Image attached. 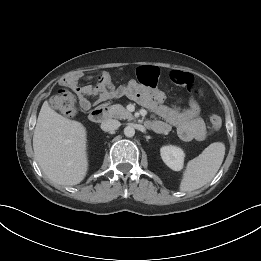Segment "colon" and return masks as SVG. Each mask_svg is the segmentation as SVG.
I'll use <instances>...</instances> for the list:
<instances>
[{
	"label": "colon",
	"instance_id": "obj_1",
	"mask_svg": "<svg viewBox=\"0 0 261 261\" xmlns=\"http://www.w3.org/2000/svg\"><path fill=\"white\" fill-rule=\"evenodd\" d=\"M51 105L65 117H73L77 113L76 101L73 94L68 90H60L58 94L51 98ZM222 125V119L217 114L209 117V130L211 133L217 132Z\"/></svg>",
	"mask_w": 261,
	"mask_h": 261
}]
</instances>
